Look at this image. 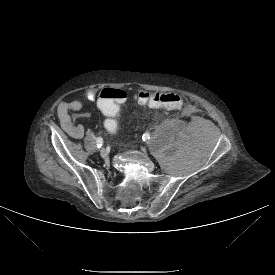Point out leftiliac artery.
Returning a JSON list of instances; mask_svg holds the SVG:
<instances>
[{
	"label": "left iliac artery",
	"mask_w": 275,
	"mask_h": 275,
	"mask_svg": "<svg viewBox=\"0 0 275 275\" xmlns=\"http://www.w3.org/2000/svg\"><path fill=\"white\" fill-rule=\"evenodd\" d=\"M149 138H150V134L148 132H146V133L143 134V139L144 140H147Z\"/></svg>",
	"instance_id": "left-iliac-artery-1"
}]
</instances>
